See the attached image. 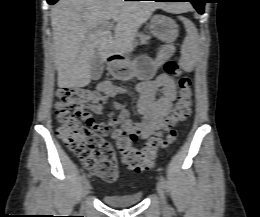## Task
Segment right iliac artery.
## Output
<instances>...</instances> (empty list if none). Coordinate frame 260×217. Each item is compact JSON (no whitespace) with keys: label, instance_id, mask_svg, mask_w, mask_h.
I'll use <instances>...</instances> for the list:
<instances>
[{"label":"right iliac artery","instance_id":"right-iliac-artery-1","mask_svg":"<svg viewBox=\"0 0 260 217\" xmlns=\"http://www.w3.org/2000/svg\"><path fill=\"white\" fill-rule=\"evenodd\" d=\"M86 181V174H83L81 177V182L84 183Z\"/></svg>","mask_w":260,"mask_h":217}]
</instances>
